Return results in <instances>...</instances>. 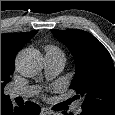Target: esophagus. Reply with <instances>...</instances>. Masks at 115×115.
Here are the masks:
<instances>
[{"mask_svg":"<svg viewBox=\"0 0 115 115\" xmlns=\"http://www.w3.org/2000/svg\"><path fill=\"white\" fill-rule=\"evenodd\" d=\"M41 111H42V113H44V114H49V115L54 114V111L51 110V109H49V108H47V107H42V108H41Z\"/></svg>","mask_w":115,"mask_h":115,"instance_id":"obj_1","label":"esophagus"}]
</instances>
